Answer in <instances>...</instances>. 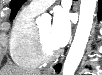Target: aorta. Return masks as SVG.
Segmentation results:
<instances>
[{"mask_svg":"<svg viewBox=\"0 0 102 75\" xmlns=\"http://www.w3.org/2000/svg\"><path fill=\"white\" fill-rule=\"evenodd\" d=\"M97 0H81L79 22L76 33L63 65L62 75H74L86 48L93 25ZM51 21V16L43 14L36 22L43 24Z\"/></svg>","mask_w":102,"mask_h":75,"instance_id":"762f6f07","label":"aorta"}]
</instances>
